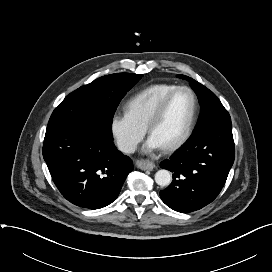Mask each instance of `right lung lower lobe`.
I'll list each match as a JSON object with an SVG mask.
<instances>
[{
    "instance_id": "right-lung-lower-lobe-1",
    "label": "right lung lower lobe",
    "mask_w": 272,
    "mask_h": 272,
    "mask_svg": "<svg viewBox=\"0 0 272 272\" xmlns=\"http://www.w3.org/2000/svg\"><path fill=\"white\" fill-rule=\"evenodd\" d=\"M43 157L61 194L71 203L99 209L112 203L133 170L113 138L88 125L46 132Z\"/></svg>"
}]
</instances>
